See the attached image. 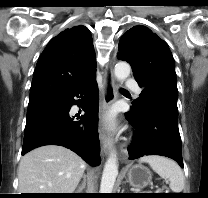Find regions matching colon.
Segmentation results:
<instances>
[{
	"label": "colon",
	"mask_w": 208,
	"mask_h": 198,
	"mask_svg": "<svg viewBox=\"0 0 208 198\" xmlns=\"http://www.w3.org/2000/svg\"><path fill=\"white\" fill-rule=\"evenodd\" d=\"M161 191H163V192H167V191H168V188L163 187V188H161Z\"/></svg>",
	"instance_id": "obj_1"
}]
</instances>
